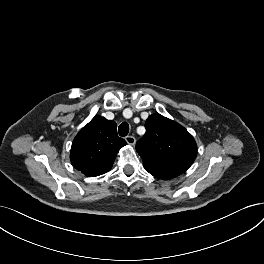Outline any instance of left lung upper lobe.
Wrapping results in <instances>:
<instances>
[{
	"label": "left lung upper lobe",
	"mask_w": 264,
	"mask_h": 264,
	"mask_svg": "<svg viewBox=\"0 0 264 264\" xmlns=\"http://www.w3.org/2000/svg\"><path fill=\"white\" fill-rule=\"evenodd\" d=\"M146 133L136 144L144 164L185 172L194 162L197 145L188 131L169 118L152 114Z\"/></svg>",
	"instance_id": "left-lung-upper-lobe-1"
}]
</instances>
